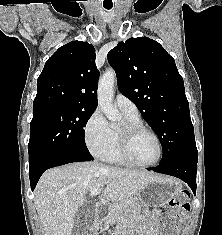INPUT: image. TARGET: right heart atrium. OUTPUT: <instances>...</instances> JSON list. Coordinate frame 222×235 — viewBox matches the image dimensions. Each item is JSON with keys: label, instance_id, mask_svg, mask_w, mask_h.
Instances as JSON below:
<instances>
[{"label": "right heart atrium", "instance_id": "d8ad5b80", "mask_svg": "<svg viewBox=\"0 0 222 235\" xmlns=\"http://www.w3.org/2000/svg\"><path fill=\"white\" fill-rule=\"evenodd\" d=\"M87 148L96 157H101L112 141V131L101 110L96 109L84 127Z\"/></svg>", "mask_w": 222, "mask_h": 235}]
</instances>
